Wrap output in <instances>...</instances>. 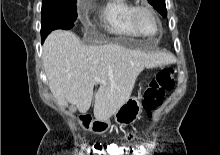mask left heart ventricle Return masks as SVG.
Returning a JSON list of instances; mask_svg holds the SVG:
<instances>
[{
	"label": "left heart ventricle",
	"mask_w": 220,
	"mask_h": 155,
	"mask_svg": "<svg viewBox=\"0 0 220 155\" xmlns=\"http://www.w3.org/2000/svg\"><path fill=\"white\" fill-rule=\"evenodd\" d=\"M137 23L140 30L147 36H153L157 31V24L148 12L139 13Z\"/></svg>",
	"instance_id": "left-heart-ventricle-1"
}]
</instances>
